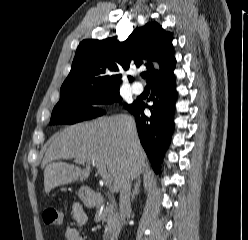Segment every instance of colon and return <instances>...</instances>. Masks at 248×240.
I'll list each match as a JSON object with an SVG mask.
<instances>
[{"mask_svg":"<svg viewBox=\"0 0 248 240\" xmlns=\"http://www.w3.org/2000/svg\"><path fill=\"white\" fill-rule=\"evenodd\" d=\"M43 221L49 226H60L63 222V213L54 207H49L43 212Z\"/></svg>","mask_w":248,"mask_h":240,"instance_id":"colon-1","label":"colon"}]
</instances>
